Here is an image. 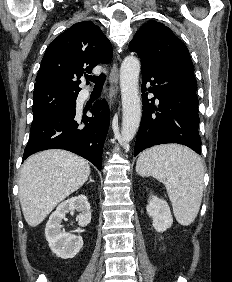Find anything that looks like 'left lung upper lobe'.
<instances>
[{
    "label": "left lung upper lobe",
    "mask_w": 232,
    "mask_h": 282,
    "mask_svg": "<svg viewBox=\"0 0 232 282\" xmlns=\"http://www.w3.org/2000/svg\"><path fill=\"white\" fill-rule=\"evenodd\" d=\"M129 49L138 54L142 68L194 74L187 47L162 23L150 20L142 25L129 43Z\"/></svg>",
    "instance_id": "left-lung-upper-lobe-1"
}]
</instances>
